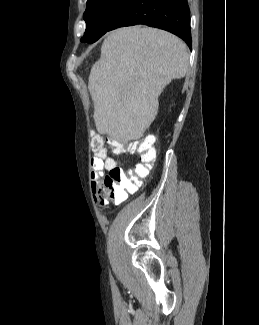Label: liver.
I'll list each match as a JSON object with an SVG mask.
<instances>
[{
  "label": "liver",
  "instance_id": "6515ba94",
  "mask_svg": "<svg viewBox=\"0 0 259 325\" xmlns=\"http://www.w3.org/2000/svg\"><path fill=\"white\" fill-rule=\"evenodd\" d=\"M189 68L185 43L150 27H124L104 39L88 89L99 134L128 143L140 139L157 116L158 97Z\"/></svg>",
  "mask_w": 259,
  "mask_h": 325
}]
</instances>
